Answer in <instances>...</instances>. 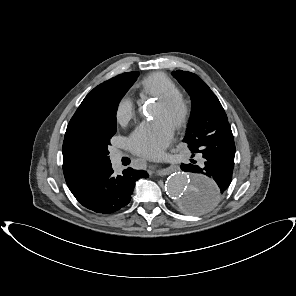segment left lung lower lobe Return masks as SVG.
<instances>
[{"instance_id":"left-lung-lower-lobe-1","label":"left lung lower lobe","mask_w":296,"mask_h":296,"mask_svg":"<svg viewBox=\"0 0 296 296\" xmlns=\"http://www.w3.org/2000/svg\"><path fill=\"white\" fill-rule=\"evenodd\" d=\"M205 160L199 167L193 164H181V169L194 173V176H204L213 179L217 190L202 199H193L190 212H201L214 205L226 192L232 179L235 144L230 125H225L208 136L206 148L202 150ZM203 200V201H201Z\"/></svg>"}]
</instances>
